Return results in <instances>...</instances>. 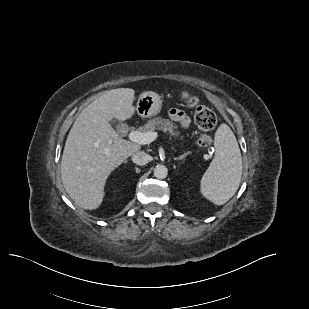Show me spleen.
<instances>
[{"mask_svg": "<svg viewBox=\"0 0 309 309\" xmlns=\"http://www.w3.org/2000/svg\"><path fill=\"white\" fill-rule=\"evenodd\" d=\"M214 159L200 182L201 194L214 203L228 202L239 188L242 176V157L236 137L227 124H221L214 138Z\"/></svg>", "mask_w": 309, "mask_h": 309, "instance_id": "spleen-1", "label": "spleen"}]
</instances>
